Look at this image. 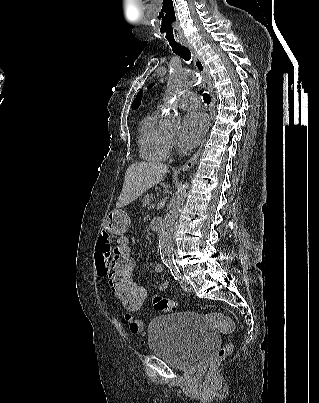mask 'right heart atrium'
Listing matches in <instances>:
<instances>
[{"instance_id": "d8ad5b80", "label": "right heart atrium", "mask_w": 319, "mask_h": 403, "mask_svg": "<svg viewBox=\"0 0 319 403\" xmlns=\"http://www.w3.org/2000/svg\"><path fill=\"white\" fill-rule=\"evenodd\" d=\"M170 145H173V141L170 142Z\"/></svg>"}]
</instances>
